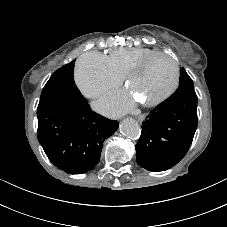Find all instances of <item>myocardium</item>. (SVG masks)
Returning <instances> with one entry per match:
<instances>
[{
    "label": "myocardium",
    "instance_id": "obj_1",
    "mask_svg": "<svg viewBox=\"0 0 227 227\" xmlns=\"http://www.w3.org/2000/svg\"><path fill=\"white\" fill-rule=\"evenodd\" d=\"M157 57H165L172 63L173 81H172L170 87L165 92L161 93L160 95H158L152 99L142 101V104L145 106H153V105H157V104L161 103L162 101H164L165 99H167L169 96H171L174 93V91L177 89L178 84H179L180 72H179V66H178L176 60L171 55L164 53V52H159V51L151 53V54L143 57L135 65H133L127 71V73L125 75L126 83H128L130 85L134 76L139 71H141L151 60H153L154 58H157Z\"/></svg>",
    "mask_w": 227,
    "mask_h": 227
}]
</instances>
